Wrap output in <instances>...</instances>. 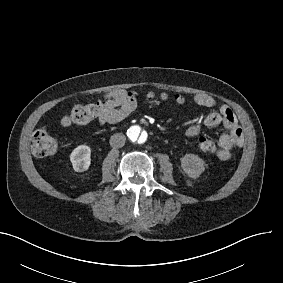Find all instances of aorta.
Here are the masks:
<instances>
[{
    "label": "aorta",
    "instance_id": "1",
    "mask_svg": "<svg viewBox=\"0 0 283 283\" xmlns=\"http://www.w3.org/2000/svg\"><path fill=\"white\" fill-rule=\"evenodd\" d=\"M127 136L132 143L144 144L148 139V133L138 125L131 126L127 130Z\"/></svg>",
    "mask_w": 283,
    "mask_h": 283
}]
</instances>
